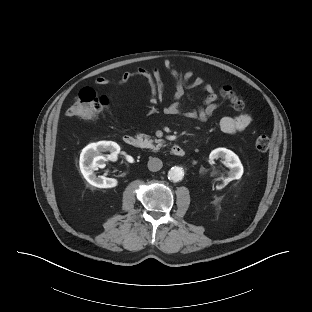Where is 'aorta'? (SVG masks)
Segmentation results:
<instances>
[{"mask_svg": "<svg viewBox=\"0 0 312 312\" xmlns=\"http://www.w3.org/2000/svg\"><path fill=\"white\" fill-rule=\"evenodd\" d=\"M184 177V170L182 167H172L168 172V179L173 182L181 181Z\"/></svg>", "mask_w": 312, "mask_h": 312, "instance_id": "aorta-1", "label": "aorta"}]
</instances>
